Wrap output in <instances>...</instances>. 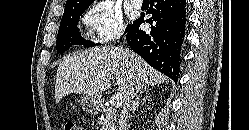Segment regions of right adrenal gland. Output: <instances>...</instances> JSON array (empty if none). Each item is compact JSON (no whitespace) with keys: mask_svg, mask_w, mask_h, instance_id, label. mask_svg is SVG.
Here are the masks:
<instances>
[{"mask_svg":"<svg viewBox=\"0 0 249 130\" xmlns=\"http://www.w3.org/2000/svg\"><path fill=\"white\" fill-rule=\"evenodd\" d=\"M144 92H148V89H144V90H141V91L139 92L138 96H137V97L135 98V100L133 101L132 107H131V109H130L131 114H134L136 108H138L140 98H141V96H142V94H143ZM130 117H132V115H130Z\"/></svg>","mask_w":249,"mask_h":130,"instance_id":"1","label":"right adrenal gland"}]
</instances>
